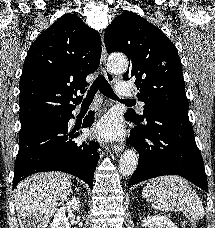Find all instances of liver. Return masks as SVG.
Returning <instances> with one entry per match:
<instances>
[{"instance_id":"6515ba94","label":"liver","mask_w":215,"mask_h":228,"mask_svg":"<svg viewBox=\"0 0 215 228\" xmlns=\"http://www.w3.org/2000/svg\"><path fill=\"white\" fill-rule=\"evenodd\" d=\"M71 180L61 172H40L17 184L14 202L20 228H47L48 222L67 200Z\"/></svg>"}]
</instances>
